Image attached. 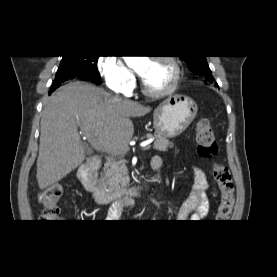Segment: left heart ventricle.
<instances>
[{"label":"left heart ventricle","mask_w":277,"mask_h":277,"mask_svg":"<svg viewBox=\"0 0 277 277\" xmlns=\"http://www.w3.org/2000/svg\"><path fill=\"white\" fill-rule=\"evenodd\" d=\"M145 85L151 90L165 89L171 82L172 69L162 61H144L138 67Z\"/></svg>","instance_id":"left-heart-ventricle-1"}]
</instances>
